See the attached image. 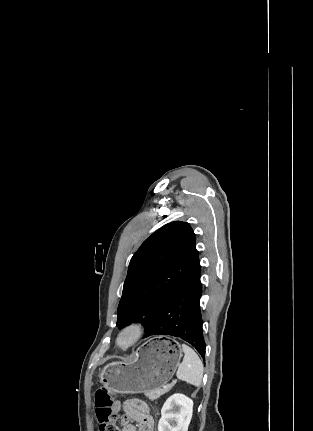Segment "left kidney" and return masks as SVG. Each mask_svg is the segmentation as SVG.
Returning a JSON list of instances; mask_svg holds the SVG:
<instances>
[{
  "label": "left kidney",
  "mask_w": 313,
  "mask_h": 431,
  "mask_svg": "<svg viewBox=\"0 0 313 431\" xmlns=\"http://www.w3.org/2000/svg\"><path fill=\"white\" fill-rule=\"evenodd\" d=\"M193 413V400L183 394H173L161 409L158 431H188Z\"/></svg>",
  "instance_id": "left-kidney-1"
}]
</instances>
